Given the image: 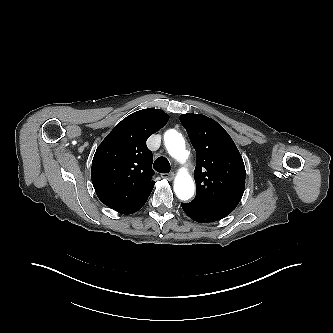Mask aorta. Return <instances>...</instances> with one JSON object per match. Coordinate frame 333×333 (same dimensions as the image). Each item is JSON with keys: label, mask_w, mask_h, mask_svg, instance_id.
Instances as JSON below:
<instances>
[{"label": "aorta", "mask_w": 333, "mask_h": 333, "mask_svg": "<svg viewBox=\"0 0 333 333\" xmlns=\"http://www.w3.org/2000/svg\"><path fill=\"white\" fill-rule=\"evenodd\" d=\"M165 147L171 157L180 163H184L188 157L186 144L183 136L176 130H168L164 134ZM195 191L193 178L187 171L181 170L175 178L174 192L183 201L189 200Z\"/></svg>", "instance_id": "aorta-1"}]
</instances>
